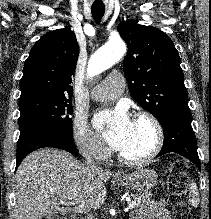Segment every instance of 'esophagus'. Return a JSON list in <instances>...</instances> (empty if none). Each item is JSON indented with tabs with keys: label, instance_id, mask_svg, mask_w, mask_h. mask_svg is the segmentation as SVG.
<instances>
[{
	"label": "esophagus",
	"instance_id": "34e87169",
	"mask_svg": "<svg viewBox=\"0 0 211 219\" xmlns=\"http://www.w3.org/2000/svg\"><path fill=\"white\" fill-rule=\"evenodd\" d=\"M121 175L120 172H117L115 176L119 177Z\"/></svg>",
	"mask_w": 211,
	"mask_h": 219
}]
</instances>
